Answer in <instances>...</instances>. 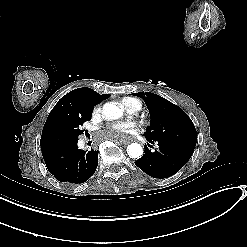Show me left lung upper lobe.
Listing matches in <instances>:
<instances>
[{"label": "left lung upper lobe", "mask_w": 247, "mask_h": 247, "mask_svg": "<svg viewBox=\"0 0 247 247\" xmlns=\"http://www.w3.org/2000/svg\"><path fill=\"white\" fill-rule=\"evenodd\" d=\"M133 95L142 97L149 109L151 125L144 133L149 141L195 148L197 142L195 126L180 107L151 92Z\"/></svg>", "instance_id": "obj_1"}]
</instances>
